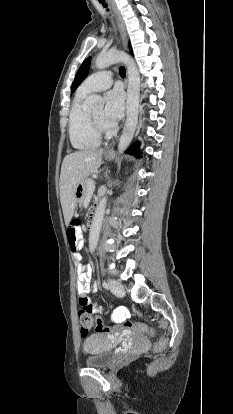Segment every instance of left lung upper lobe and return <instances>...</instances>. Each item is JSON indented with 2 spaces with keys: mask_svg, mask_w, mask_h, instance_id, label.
I'll list each match as a JSON object with an SVG mask.
<instances>
[{
  "mask_svg": "<svg viewBox=\"0 0 233 414\" xmlns=\"http://www.w3.org/2000/svg\"><path fill=\"white\" fill-rule=\"evenodd\" d=\"M130 50L132 51L131 46H130ZM89 67H90V57L87 58L82 63L81 67L79 68V70H78V72L75 76V79L72 83L71 93H73L76 90V88L81 84V82L85 79V77L88 74Z\"/></svg>",
  "mask_w": 233,
  "mask_h": 414,
  "instance_id": "obj_1",
  "label": "left lung upper lobe"
}]
</instances>
